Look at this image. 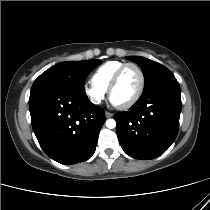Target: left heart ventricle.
<instances>
[{"mask_svg": "<svg viewBox=\"0 0 210 210\" xmlns=\"http://www.w3.org/2000/svg\"><path fill=\"white\" fill-rule=\"evenodd\" d=\"M140 86V75L134 67L126 68L112 92V101L115 104H124L130 101Z\"/></svg>", "mask_w": 210, "mask_h": 210, "instance_id": "obj_1", "label": "left heart ventricle"}]
</instances>
